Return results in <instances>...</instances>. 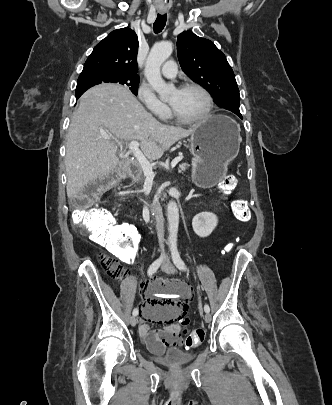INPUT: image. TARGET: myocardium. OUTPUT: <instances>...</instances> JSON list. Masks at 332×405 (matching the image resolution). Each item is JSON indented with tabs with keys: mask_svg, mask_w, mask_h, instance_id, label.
Masks as SVG:
<instances>
[{
	"mask_svg": "<svg viewBox=\"0 0 332 405\" xmlns=\"http://www.w3.org/2000/svg\"><path fill=\"white\" fill-rule=\"evenodd\" d=\"M188 89L198 90L199 92H201L204 95V97L206 98V101H207V107H206L205 111L203 112V114H201L197 118L185 119L176 111V109L171 104H169L171 116L174 118V120H176L177 122L182 123V124H198V123L204 122L205 120H207L210 117V115L212 113L213 106H214L213 98H212L210 92L205 87H203L200 84L193 83V82H187V83L182 84L178 90H188Z\"/></svg>",
	"mask_w": 332,
	"mask_h": 405,
	"instance_id": "myocardium-1",
	"label": "myocardium"
}]
</instances>
